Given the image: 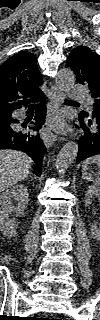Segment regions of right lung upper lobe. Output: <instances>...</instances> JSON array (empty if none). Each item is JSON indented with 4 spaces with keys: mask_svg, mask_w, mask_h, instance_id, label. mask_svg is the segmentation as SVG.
<instances>
[{
    "mask_svg": "<svg viewBox=\"0 0 100 320\" xmlns=\"http://www.w3.org/2000/svg\"><path fill=\"white\" fill-rule=\"evenodd\" d=\"M41 84L36 58L30 52L21 51L5 61L0 66V120L40 96Z\"/></svg>",
    "mask_w": 100,
    "mask_h": 320,
    "instance_id": "1",
    "label": "right lung upper lobe"
}]
</instances>
